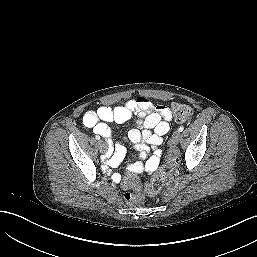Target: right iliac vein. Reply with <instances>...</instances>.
I'll return each instance as SVG.
<instances>
[{"label": "right iliac vein", "instance_id": "63e3f726", "mask_svg": "<svg viewBox=\"0 0 257 257\" xmlns=\"http://www.w3.org/2000/svg\"><path fill=\"white\" fill-rule=\"evenodd\" d=\"M98 146H99V150H100V151L105 152L107 146H106V144L104 143V141L99 140V141H98Z\"/></svg>", "mask_w": 257, "mask_h": 257}]
</instances>
